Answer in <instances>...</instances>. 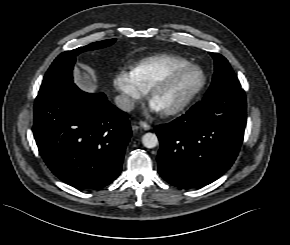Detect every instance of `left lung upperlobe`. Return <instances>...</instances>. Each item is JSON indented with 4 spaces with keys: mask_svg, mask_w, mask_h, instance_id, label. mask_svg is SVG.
<instances>
[{
    "mask_svg": "<svg viewBox=\"0 0 290 245\" xmlns=\"http://www.w3.org/2000/svg\"><path fill=\"white\" fill-rule=\"evenodd\" d=\"M215 62V72L213 75L212 84L205 94V97L214 95L226 89L241 88L237 76L233 72L226 58L218 53L210 52Z\"/></svg>",
    "mask_w": 290,
    "mask_h": 245,
    "instance_id": "obj_1",
    "label": "left lung upper lobe"
}]
</instances>
